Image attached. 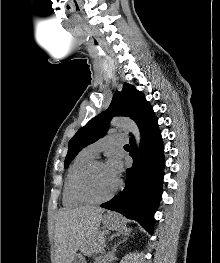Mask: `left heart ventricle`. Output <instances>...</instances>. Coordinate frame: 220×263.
<instances>
[{"label":"left heart ventricle","instance_id":"b2bd125f","mask_svg":"<svg viewBox=\"0 0 220 263\" xmlns=\"http://www.w3.org/2000/svg\"><path fill=\"white\" fill-rule=\"evenodd\" d=\"M117 180L107 171L105 164L93 168L86 180V188L95 197H103L116 186Z\"/></svg>","mask_w":220,"mask_h":263}]
</instances>
